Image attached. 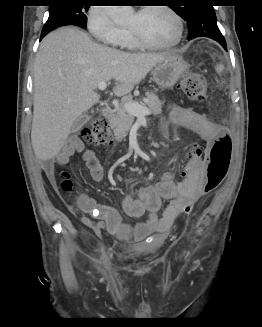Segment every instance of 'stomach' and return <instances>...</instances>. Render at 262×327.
Wrapping results in <instances>:
<instances>
[{"label": "stomach", "instance_id": "obj_1", "mask_svg": "<svg viewBox=\"0 0 262 327\" xmlns=\"http://www.w3.org/2000/svg\"><path fill=\"white\" fill-rule=\"evenodd\" d=\"M188 65L179 55H168L153 69V78L160 89H172L187 70Z\"/></svg>", "mask_w": 262, "mask_h": 327}]
</instances>
